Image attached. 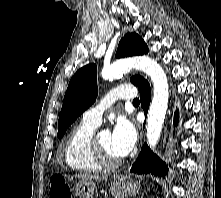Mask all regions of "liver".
<instances>
[{"instance_id": "liver-1", "label": "liver", "mask_w": 221, "mask_h": 198, "mask_svg": "<svg viewBox=\"0 0 221 198\" xmlns=\"http://www.w3.org/2000/svg\"><path fill=\"white\" fill-rule=\"evenodd\" d=\"M76 177L78 179H81V180H105L106 178L105 177H99L98 175H91V174H87V173H83V174H78L76 175Z\"/></svg>"}]
</instances>
